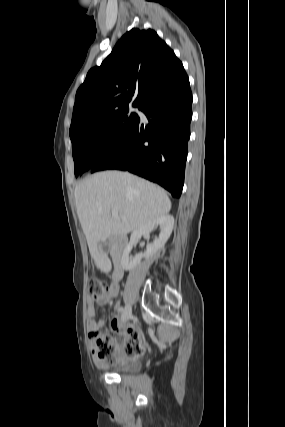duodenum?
Returning a JSON list of instances; mask_svg holds the SVG:
<instances>
[{
  "instance_id": "duodenum-1",
  "label": "duodenum",
  "mask_w": 285,
  "mask_h": 427,
  "mask_svg": "<svg viewBox=\"0 0 285 427\" xmlns=\"http://www.w3.org/2000/svg\"><path fill=\"white\" fill-rule=\"evenodd\" d=\"M114 260L116 263H119V260H120L119 256H115ZM121 275H122V271L120 268H117L113 273V276L117 278H120Z\"/></svg>"
}]
</instances>
